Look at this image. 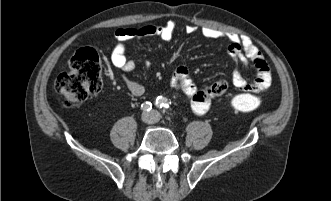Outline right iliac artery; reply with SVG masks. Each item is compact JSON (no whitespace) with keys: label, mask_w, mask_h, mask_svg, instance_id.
I'll list each match as a JSON object with an SVG mask.
<instances>
[{"label":"right iliac artery","mask_w":331,"mask_h":201,"mask_svg":"<svg viewBox=\"0 0 331 201\" xmlns=\"http://www.w3.org/2000/svg\"><path fill=\"white\" fill-rule=\"evenodd\" d=\"M141 107L144 111H150L152 109V103L151 102H144L141 105Z\"/></svg>","instance_id":"82829eb1"}]
</instances>
